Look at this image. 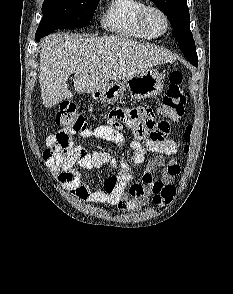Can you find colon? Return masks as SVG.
Listing matches in <instances>:
<instances>
[{
	"instance_id": "5ec220e1",
	"label": "colon",
	"mask_w": 233,
	"mask_h": 294,
	"mask_svg": "<svg viewBox=\"0 0 233 294\" xmlns=\"http://www.w3.org/2000/svg\"><path fill=\"white\" fill-rule=\"evenodd\" d=\"M183 80V73L180 70L171 72L168 89L158 109L162 118L176 121L184 115L186 96L183 89ZM55 121L61 126V130L55 134V143L50 151V154L54 156L72 148V133H80L87 129L84 116L73 103H62L56 112ZM191 131L192 127L187 126L184 132L185 152H188L187 144L190 141ZM175 193L174 186L164 187L153 197V201L160 206L166 205L172 201Z\"/></svg>"
}]
</instances>
